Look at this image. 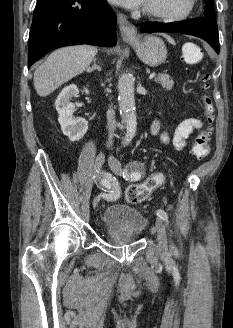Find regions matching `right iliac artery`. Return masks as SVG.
<instances>
[{
	"mask_svg": "<svg viewBox=\"0 0 233 328\" xmlns=\"http://www.w3.org/2000/svg\"><path fill=\"white\" fill-rule=\"evenodd\" d=\"M104 187V193L101 195L106 201H114L120 197V187L118 182L109 174L104 175V179L101 181Z\"/></svg>",
	"mask_w": 233,
	"mask_h": 328,
	"instance_id": "obj_1",
	"label": "right iliac artery"
}]
</instances>
